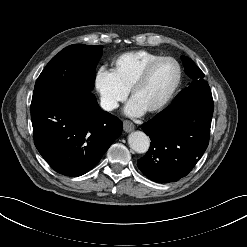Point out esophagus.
Segmentation results:
<instances>
[{
  "instance_id": "obj_1",
  "label": "esophagus",
  "mask_w": 247,
  "mask_h": 247,
  "mask_svg": "<svg viewBox=\"0 0 247 247\" xmlns=\"http://www.w3.org/2000/svg\"><path fill=\"white\" fill-rule=\"evenodd\" d=\"M135 128L134 124L131 121L125 120L123 121V129L125 132H131Z\"/></svg>"
}]
</instances>
